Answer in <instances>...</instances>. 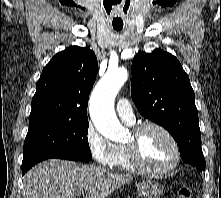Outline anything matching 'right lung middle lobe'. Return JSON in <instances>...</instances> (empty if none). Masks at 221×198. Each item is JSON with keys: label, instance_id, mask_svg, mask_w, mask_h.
Here are the masks:
<instances>
[{"label": "right lung middle lobe", "instance_id": "1", "mask_svg": "<svg viewBox=\"0 0 221 198\" xmlns=\"http://www.w3.org/2000/svg\"><path fill=\"white\" fill-rule=\"evenodd\" d=\"M88 119H42L29 123L23 147L22 168L55 155H67L81 161L92 160L88 144Z\"/></svg>", "mask_w": 221, "mask_h": 198}]
</instances>
